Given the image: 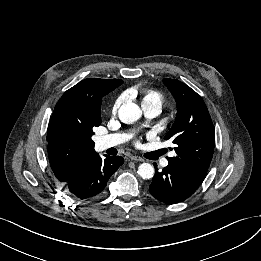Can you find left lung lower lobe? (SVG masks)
<instances>
[{"instance_id": "0a47b994", "label": "left lung lower lobe", "mask_w": 261, "mask_h": 261, "mask_svg": "<svg viewBox=\"0 0 261 261\" xmlns=\"http://www.w3.org/2000/svg\"><path fill=\"white\" fill-rule=\"evenodd\" d=\"M198 187L180 170L169 164L161 172L155 166V175L149 185V192L155 199L165 204H175L189 198Z\"/></svg>"}]
</instances>
